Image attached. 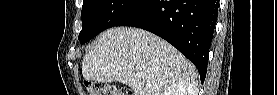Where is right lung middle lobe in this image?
<instances>
[{
	"instance_id": "obj_1",
	"label": "right lung middle lobe",
	"mask_w": 277,
	"mask_h": 95,
	"mask_svg": "<svg viewBox=\"0 0 277 95\" xmlns=\"http://www.w3.org/2000/svg\"><path fill=\"white\" fill-rule=\"evenodd\" d=\"M143 0H84L79 34L81 43L88 42L100 32L116 26Z\"/></svg>"
}]
</instances>
